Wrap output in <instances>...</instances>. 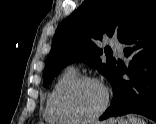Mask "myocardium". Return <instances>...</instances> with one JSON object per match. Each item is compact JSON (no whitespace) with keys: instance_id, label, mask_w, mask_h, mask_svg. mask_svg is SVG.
I'll return each mask as SVG.
<instances>
[{"instance_id":"myocardium-1","label":"myocardium","mask_w":156,"mask_h":124,"mask_svg":"<svg viewBox=\"0 0 156 124\" xmlns=\"http://www.w3.org/2000/svg\"><path fill=\"white\" fill-rule=\"evenodd\" d=\"M83 83H95L99 85L104 93V101L102 106L99 108L97 112L90 116H80L73 110H71L67 105V97L71 93V91L76 88L77 86L83 84ZM110 103V95L108 89L105 87V85L97 78L92 76H77L70 82H68L58 93L56 104L59 112L70 119L71 121L75 123H87L92 122L100 118L104 112L107 110Z\"/></svg>"}]
</instances>
